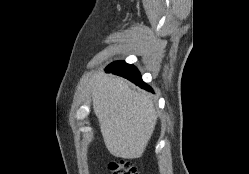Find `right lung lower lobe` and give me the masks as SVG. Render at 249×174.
Segmentation results:
<instances>
[{
  "label": "right lung lower lobe",
  "instance_id": "1",
  "mask_svg": "<svg viewBox=\"0 0 249 174\" xmlns=\"http://www.w3.org/2000/svg\"><path fill=\"white\" fill-rule=\"evenodd\" d=\"M106 72L127 78L141 88L152 91V89L142 81L141 75L134 65L127 64L124 61H117L106 67Z\"/></svg>",
  "mask_w": 249,
  "mask_h": 174
}]
</instances>
